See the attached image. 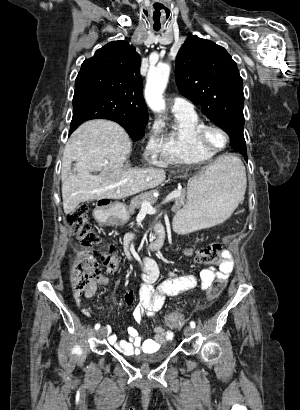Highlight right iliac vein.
I'll return each mask as SVG.
<instances>
[{"label": "right iliac vein", "mask_w": 300, "mask_h": 410, "mask_svg": "<svg viewBox=\"0 0 300 410\" xmlns=\"http://www.w3.org/2000/svg\"><path fill=\"white\" fill-rule=\"evenodd\" d=\"M104 334H105L104 328H101V329H99V330L97 331V336H98V337H102Z\"/></svg>", "instance_id": "1"}]
</instances>
